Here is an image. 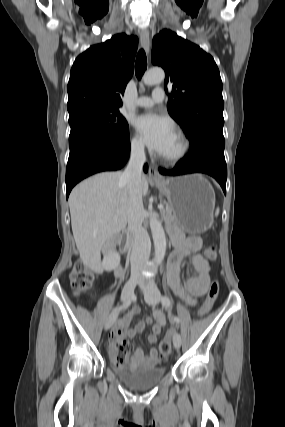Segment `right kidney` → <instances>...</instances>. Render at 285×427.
<instances>
[{
  "label": "right kidney",
  "instance_id": "obj_1",
  "mask_svg": "<svg viewBox=\"0 0 285 427\" xmlns=\"http://www.w3.org/2000/svg\"><path fill=\"white\" fill-rule=\"evenodd\" d=\"M120 263V255L116 251L108 252L102 261V267L105 271L114 270Z\"/></svg>",
  "mask_w": 285,
  "mask_h": 427
}]
</instances>
